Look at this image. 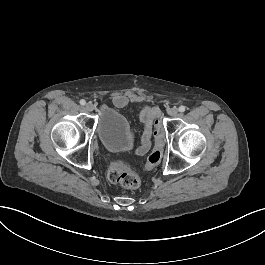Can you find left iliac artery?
Segmentation results:
<instances>
[{"instance_id":"left-iliac-artery-1","label":"left iliac artery","mask_w":265,"mask_h":265,"mask_svg":"<svg viewBox=\"0 0 265 265\" xmlns=\"http://www.w3.org/2000/svg\"><path fill=\"white\" fill-rule=\"evenodd\" d=\"M185 110H186V107H185V106H180V107H179V111H180V112H184Z\"/></svg>"}]
</instances>
